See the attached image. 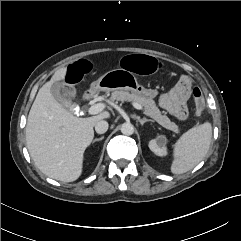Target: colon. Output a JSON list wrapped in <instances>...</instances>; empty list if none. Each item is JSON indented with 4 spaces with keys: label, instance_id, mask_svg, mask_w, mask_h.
<instances>
[{
    "label": "colon",
    "instance_id": "obj_1",
    "mask_svg": "<svg viewBox=\"0 0 241 241\" xmlns=\"http://www.w3.org/2000/svg\"><path fill=\"white\" fill-rule=\"evenodd\" d=\"M121 67L126 71H135L139 75L159 74L165 68L164 61L155 56H148L143 53L126 54L120 60ZM94 62L87 57L75 60L72 64L65 67L66 76L61 81L62 85L74 84L82 77L94 71ZM196 113L204 111L205 103L201 91L196 88L193 92Z\"/></svg>",
    "mask_w": 241,
    "mask_h": 241
}]
</instances>
